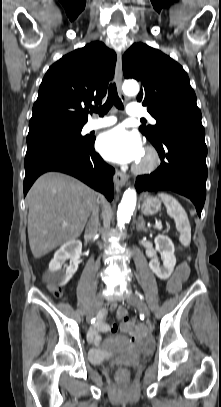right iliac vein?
<instances>
[{"label": "right iliac vein", "instance_id": "obj_1", "mask_svg": "<svg viewBox=\"0 0 221 407\" xmlns=\"http://www.w3.org/2000/svg\"><path fill=\"white\" fill-rule=\"evenodd\" d=\"M103 293L99 292L97 294V296L95 297L93 304L91 306V309L89 310L88 314H87V321L90 322L93 318V316L96 314V312L99 310V308L102 306L103 304Z\"/></svg>", "mask_w": 221, "mask_h": 407}]
</instances>
